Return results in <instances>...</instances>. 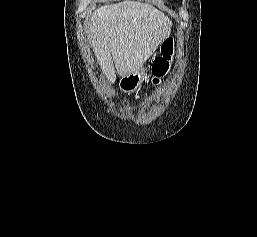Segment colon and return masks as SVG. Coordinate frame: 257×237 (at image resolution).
<instances>
[{"label": "colon", "mask_w": 257, "mask_h": 237, "mask_svg": "<svg viewBox=\"0 0 257 237\" xmlns=\"http://www.w3.org/2000/svg\"><path fill=\"white\" fill-rule=\"evenodd\" d=\"M174 53V40L172 38H167L163 41L161 45L160 55L155 59L153 65V83L159 84L161 80L166 76L170 61Z\"/></svg>", "instance_id": "obj_1"}]
</instances>
